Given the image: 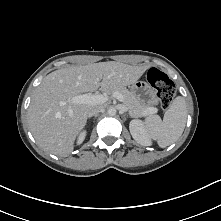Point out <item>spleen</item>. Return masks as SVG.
Wrapping results in <instances>:
<instances>
[{
  "mask_svg": "<svg viewBox=\"0 0 221 221\" xmlns=\"http://www.w3.org/2000/svg\"><path fill=\"white\" fill-rule=\"evenodd\" d=\"M187 120V106L185 99L176 97L169 109L165 112L163 120L158 115L146 118L145 128L148 135L157 141L161 148H165L182 135Z\"/></svg>",
  "mask_w": 221,
  "mask_h": 221,
  "instance_id": "obj_1",
  "label": "spleen"
}]
</instances>
